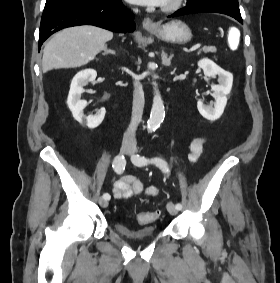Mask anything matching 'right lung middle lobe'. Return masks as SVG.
<instances>
[{"label":"right lung middle lobe","instance_id":"right-lung-middle-lobe-1","mask_svg":"<svg viewBox=\"0 0 280 283\" xmlns=\"http://www.w3.org/2000/svg\"><path fill=\"white\" fill-rule=\"evenodd\" d=\"M72 1H101V0H46L45 8L63 3V2H72Z\"/></svg>","mask_w":280,"mask_h":283}]
</instances>
